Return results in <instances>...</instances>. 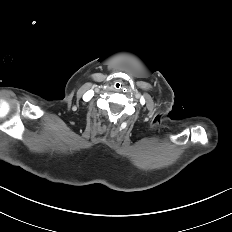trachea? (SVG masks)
Listing matches in <instances>:
<instances>
[{"label": "trachea", "instance_id": "trachea-1", "mask_svg": "<svg viewBox=\"0 0 232 232\" xmlns=\"http://www.w3.org/2000/svg\"><path fill=\"white\" fill-rule=\"evenodd\" d=\"M113 87L115 88V90H122V88L124 87V84L121 81H116L113 84Z\"/></svg>", "mask_w": 232, "mask_h": 232}]
</instances>
